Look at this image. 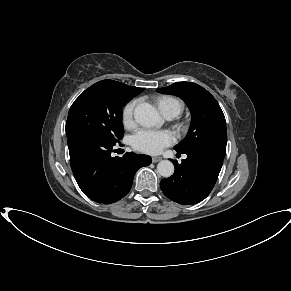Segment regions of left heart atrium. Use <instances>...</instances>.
Wrapping results in <instances>:
<instances>
[{
    "label": "left heart atrium",
    "mask_w": 291,
    "mask_h": 291,
    "mask_svg": "<svg viewBox=\"0 0 291 291\" xmlns=\"http://www.w3.org/2000/svg\"><path fill=\"white\" fill-rule=\"evenodd\" d=\"M174 142L175 136L168 130L140 129L131 138L136 150L148 154H158Z\"/></svg>",
    "instance_id": "left-heart-atrium-1"
}]
</instances>
